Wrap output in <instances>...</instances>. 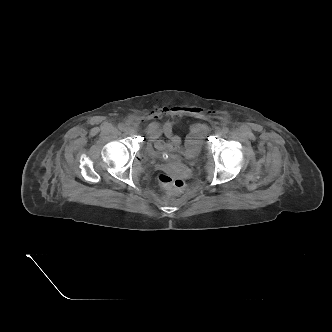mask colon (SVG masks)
<instances>
[{"label": "colon", "instance_id": "5ec220e1", "mask_svg": "<svg viewBox=\"0 0 332 332\" xmlns=\"http://www.w3.org/2000/svg\"><path fill=\"white\" fill-rule=\"evenodd\" d=\"M158 182L160 186L169 193H179L185 187V181L183 179L164 173L158 176Z\"/></svg>", "mask_w": 332, "mask_h": 332}]
</instances>
